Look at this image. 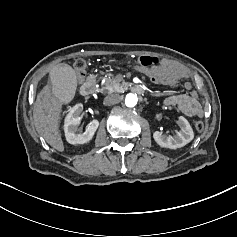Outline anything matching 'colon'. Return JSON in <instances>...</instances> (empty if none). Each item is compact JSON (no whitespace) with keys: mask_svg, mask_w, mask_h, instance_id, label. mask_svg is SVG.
Listing matches in <instances>:
<instances>
[{"mask_svg":"<svg viewBox=\"0 0 237 237\" xmlns=\"http://www.w3.org/2000/svg\"><path fill=\"white\" fill-rule=\"evenodd\" d=\"M137 64L143 68L153 70V75L150 79L157 84H169L170 78L162 71L163 60L157 57L141 56L138 58ZM74 70L79 76H83L86 72V63L83 60H76L74 62ZM197 131L202 132L205 129V124L202 121L195 123Z\"/></svg>","mask_w":237,"mask_h":237,"instance_id":"colon-1","label":"colon"}]
</instances>
